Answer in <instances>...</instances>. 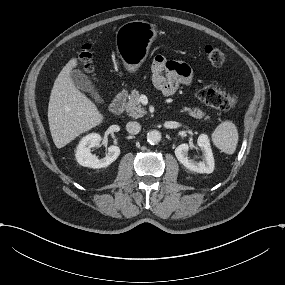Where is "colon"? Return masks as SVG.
<instances>
[{"label": "colon", "mask_w": 285, "mask_h": 285, "mask_svg": "<svg viewBox=\"0 0 285 285\" xmlns=\"http://www.w3.org/2000/svg\"><path fill=\"white\" fill-rule=\"evenodd\" d=\"M204 55L213 66H221L226 61V54L223 50L207 45L204 48ZM80 60L87 72L92 71L91 48L85 45L80 52ZM197 98L207 106L220 111H229L237 107L239 99L236 95L226 92L214 84H207L197 91Z\"/></svg>", "instance_id": "obj_1"}]
</instances>
